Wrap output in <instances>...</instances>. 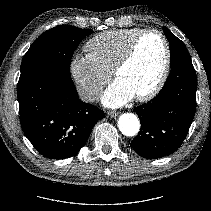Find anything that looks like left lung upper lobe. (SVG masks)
<instances>
[{"instance_id": "5c2ea615", "label": "left lung upper lobe", "mask_w": 211, "mask_h": 211, "mask_svg": "<svg viewBox=\"0 0 211 211\" xmlns=\"http://www.w3.org/2000/svg\"><path fill=\"white\" fill-rule=\"evenodd\" d=\"M166 37L170 44V67L183 59H191L184 43L178 39L171 31L163 27Z\"/></svg>"}]
</instances>
